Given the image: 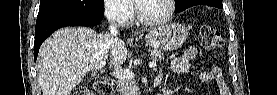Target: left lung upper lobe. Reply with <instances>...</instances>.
I'll return each mask as SVG.
<instances>
[{"label": "left lung upper lobe", "instance_id": "1", "mask_svg": "<svg viewBox=\"0 0 277 95\" xmlns=\"http://www.w3.org/2000/svg\"><path fill=\"white\" fill-rule=\"evenodd\" d=\"M175 12L179 13L185 9L195 6L208 4L214 7H223L222 0H175Z\"/></svg>", "mask_w": 277, "mask_h": 95}]
</instances>
